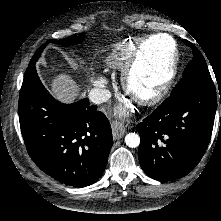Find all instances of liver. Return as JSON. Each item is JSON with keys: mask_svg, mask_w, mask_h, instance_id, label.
Listing matches in <instances>:
<instances>
[{"mask_svg": "<svg viewBox=\"0 0 221 221\" xmlns=\"http://www.w3.org/2000/svg\"><path fill=\"white\" fill-rule=\"evenodd\" d=\"M80 87L66 73L56 75L50 84V92L58 101L69 104L74 102L79 96Z\"/></svg>", "mask_w": 221, "mask_h": 221, "instance_id": "1", "label": "liver"}]
</instances>
